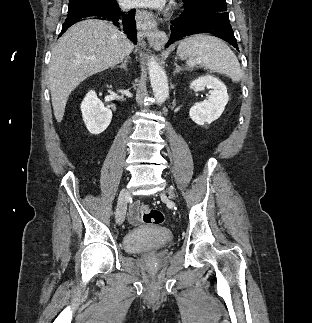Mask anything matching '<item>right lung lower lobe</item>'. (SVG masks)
Wrapping results in <instances>:
<instances>
[{"label": "right lung lower lobe", "instance_id": "1", "mask_svg": "<svg viewBox=\"0 0 312 323\" xmlns=\"http://www.w3.org/2000/svg\"><path fill=\"white\" fill-rule=\"evenodd\" d=\"M89 16H95L97 19L101 20L112 21L115 26L120 28V30H123L128 35L129 39L134 42L137 41L135 11H121L116 2L69 12L68 17L62 26L60 35H62V33H64L72 24Z\"/></svg>", "mask_w": 312, "mask_h": 323}]
</instances>
